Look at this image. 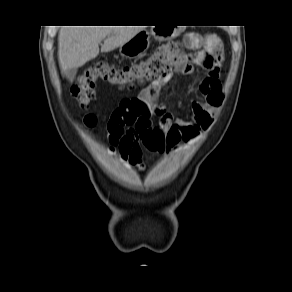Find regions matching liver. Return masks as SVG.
<instances>
[{"instance_id":"liver-1","label":"liver","mask_w":292,"mask_h":292,"mask_svg":"<svg viewBox=\"0 0 292 292\" xmlns=\"http://www.w3.org/2000/svg\"><path fill=\"white\" fill-rule=\"evenodd\" d=\"M143 29L138 26H63L58 36V59L62 73L78 68L102 52L121 47Z\"/></svg>"}]
</instances>
